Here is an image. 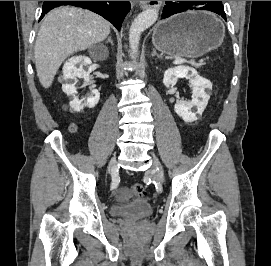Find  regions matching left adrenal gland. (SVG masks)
Here are the masks:
<instances>
[{
    "label": "left adrenal gland",
    "mask_w": 271,
    "mask_h": 266,
    "mask_svg": "<svg viewBox=\"0 0 271 266\" xmlns=\"http://www.w3.org/2000/svg\"><path fill=\"white\" fill-rule=\"evenodd\" d=\"M151 56H152V57L157 56V58H160V59L162 58V56L159 55V54L156 52L155 49H153V52H152Z\"/></svg>",
    "instance_id": "obj_1"
}]
</instances>
